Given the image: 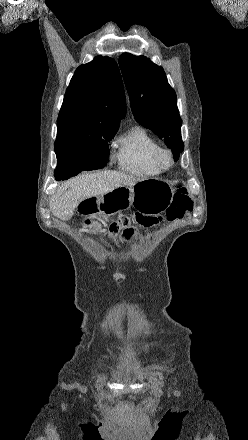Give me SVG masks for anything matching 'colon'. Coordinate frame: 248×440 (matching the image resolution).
Instances as JSON below:
<instances>
[{
  "instance_id": "obj_1",
  "label": "colon",
  "mask_w": 248,
  "mask_h": 440,
  "mask_svg": "<svg viewBox=\"0 0 248 440\" xmlns=\"http://www.w3.org/2000/svg\"><path fill=\"white\" fill-rule=\"evenodd\" d=\"M192 208L193 201L189 193L183 186H178L172 203L166 210V217L168 220L182 218L187 212L191 211ZM133 219L145 226L152 225L158 221V218L147 216L140 211L135 212ZM131 220L132 219L128 216L119 218L113 223L112 234L117 235L119 231L123 230L124 237L130 239L135 233L134 229L130 227Z\"/></svg>"
}]
</instances>
